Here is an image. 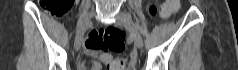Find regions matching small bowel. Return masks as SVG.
Returning <instances> with one entry per match:
<instances>
[{
  "mask_svg": "<svg viewBox=\"0 0 238 70\" xmlns=\"http://www.w3.org/2000/svg\"><path fill=\"white\" fill-rule=\"evenodd\" d=\"M85 49L86 53L90 55L93 59L90 62L89 66H86L85 63H82L80 66V70H101L102 69V63L108 62L110 60V56L108 54H101L102 49L98 43L97 38L95 35H91L86 41H85Z\"/></svg>",
  "mask_w": 238,
  "mask_h": 70,
  "instance_id": "c3829d8e",
  "label": "small bowel"
}]
</instances>
